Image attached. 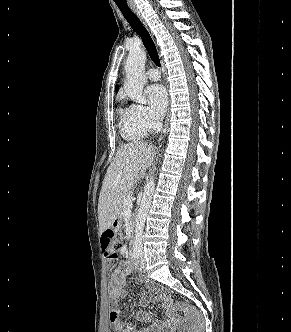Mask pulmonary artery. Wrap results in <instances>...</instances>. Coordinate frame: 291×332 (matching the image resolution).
Masks as SVG:
<instances>
[{
    "instance_id": "obj_1",
    "label": "pulmonary artery",
    "mask_w": 291,
    "mask_h": 332,
    "mask_svg": "<svg viewBox=\"0 0 291 332\" xmlns=\"http://www.w3.org/2000/svg\"><path fill=\"white\" fill-rule=\"evenodd\" d=\"M146 77L151 81H158L160 79V73L155 68H150L146 72Z\"/></svg>"
}]
</instances>
